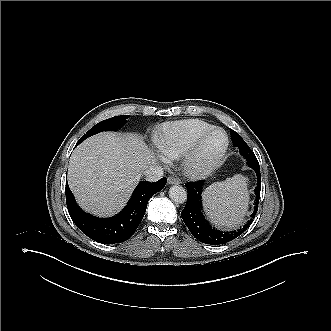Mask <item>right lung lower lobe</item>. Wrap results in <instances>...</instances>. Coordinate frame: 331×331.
<instances>
[{
	"instance_id": "1",
	"label": "right lung lower lobe",
	"mask_w": 331,
	"mask_h": 331,
	"mask_svg": "<svg viewBox=\"0 0 331 331\" xmlns=\"http://www.w3.org/2000/svg\"><path fill=\"white\" fill-rule=\"evenodd\" d=\"M79 143L78 141L77 145ZM166 182V177L154 183L140 182L126 207L111 218H97L85 213L76 204L66 184L67 208L73 222L89 238L103 244L121 243L128 240L136 231L145 214L148 200L162 190Z\"/></svg>"
}]
</instances>
